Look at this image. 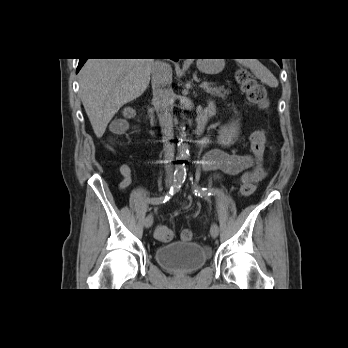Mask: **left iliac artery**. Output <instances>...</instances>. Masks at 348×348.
I'll return each mask as SVG.
<instances>
[{
    "instance_id": "left-iliac-artery-1",
    "label": "left iliac artery",
    "mask_w": 348,
    "mask_h": 348,
    "mask_svg": "<svg viewBox=\"0 0 348 348\" xmlns=\"http://www.w3.org/2000/svg\"><path fill=\"white\" fill-rule=\"evenodd\" d=\"M190 180L192 181V184H193V178L191 177ZM193 193L198 196V197H201V198H204L205 195H219L220 194V197H225V192H223V190H220L219 188H216L215 190L213 189H207V188H204V187H200L196 184H193Z\"/></svg>"
}]
</instances>
